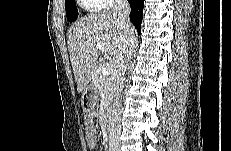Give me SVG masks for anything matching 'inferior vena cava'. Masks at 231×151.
<instances>
[{
    "label": "inferior vena cava",
    "mask_w": 231,
    "mask_h": 151,
    "mask_svg": "<svg viewBox=\"0 0 231 151\" xmlns=\"http://www.w3.org/2000/svg\"><path fill=\"white\" fill-rule=\"evenodd\" d=\"M131 8L127 0H114L113 14L117 17L120 29L127 41L119 56L117 72L115 77V100L112 117L110 119L109 146L114 148L118 145L121 134V101L120 96L124 88L123 77L126 72L128 61L131 58L134 48V30L129 20Z\"/></svg>",
    "instance_id": "1"
}]
</instances>
